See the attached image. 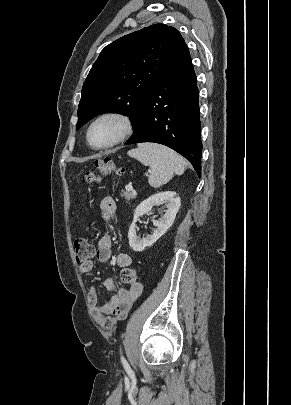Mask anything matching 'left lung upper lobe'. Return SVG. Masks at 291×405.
<instances>
[{
    "instance_id": "5c2ea615",
    "label": "left lung upper lobe",
    "mask_w": 291,
    "mask_h": 405,
    "mask_svg": "<svg viewBox=\"0 0 291 405\" xmlns=\"http://www.w3.org/2000/svg\"><path fill=\"white\" fill-rule=\"evenodd\" d=\"M184 45L177 29L154 24L106 46L84 82L76 128L98 114L120 112L136 129L149 90Z\"/></svg>"
}]
</instances>
